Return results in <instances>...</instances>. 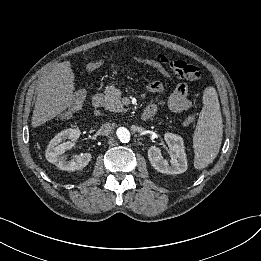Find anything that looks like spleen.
<instances>
[{"instance_id": "3e777b00", "label": "spleen", "mask_w": 261, "mask_h": 261, "mask_svg": "<svg viewBox=\"0 0 261 261\" xmlns=\"http://www.w3.org/2000/svg\"><path fill=\"white\" fill-rule=\"evenodd\" d=\"M222 134L223 124L218 95L215 88L208 87L204 91L203 108L193 136L196 169L201 170L213 162L221 146Z\"/></svg>"}]
</instances>
